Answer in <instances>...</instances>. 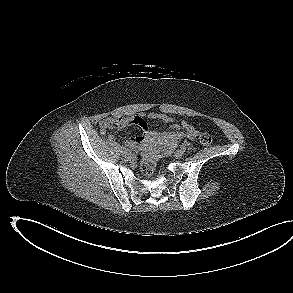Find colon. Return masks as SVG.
<instances>
[{
    "label": "colon",
    "mask_w": 293,
    "mask_h": 293,
    "mask_svg": "<svg viewBox=\"0 0 293 293\" xmlns=\"http://www.w3.org/2000/svg\"><path fill=\"white\" fill-rule=\"evenodd\" d=\"M199 141L202 145L208 146L212 143L213 139L209 133L203 132L199 135ZM176 146V144L169 142L152 148L140 163L141 173L146 177L150 176L154 171L156 162L172 153Z\"/></svg>",
    "instance_id": "obj_1"
}]
</instances>
